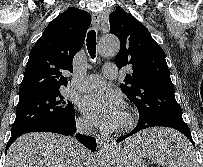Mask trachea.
Segmentation results:
<instances>
[{"label": "trachea", "mask_w": 203, "mask_h": 167, "mask_svg": "<svg viewBox=\"0 0 203 167\" xmlns=\"http://www.w3.org/2000/svg\"><path fill=\"white\" fill-rule=\"evenodd\" d=\"M87 50L92 58L96 56V32L90 30L87 34Z\"/></svg>", "instance_id": "1"}]
</instances>
